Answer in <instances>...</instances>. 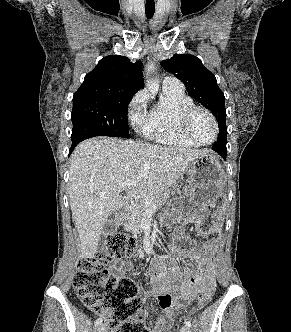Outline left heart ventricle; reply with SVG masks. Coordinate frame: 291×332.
<instances>
[{
	"mask_svg": "<svg viewBox=\"0 0 291 332\" xmlns=\"http://www.w3.org/2000/svg\"><path fill=\"white\" fill-rule=\"evenodd\" d=\"M191 132L201 141L207 142L213 139L215 134L211 119L203 112H197L191 121Z\"/></svg>",
	"mask_w": 291,
	"mask_h": 332,
	"instance_id": "obj_1",
	"label": "left heart ventricle"
}]
</instances>
